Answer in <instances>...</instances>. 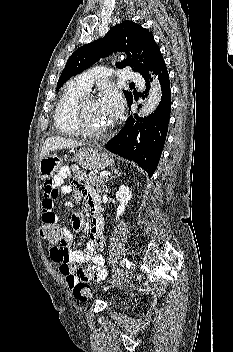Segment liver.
<instances>
[{"label":"liver","instance_id":"liver-1","mask_svg":"<svg viewBox=\"0 0 233 352\" xmlns=\"http://www.w3.org/2000/svg\"><path fill=\"white\" fill-rule=\"evenodd\" d=\"M79 146H82V143L72 139L64 137H50L46 139L43 144L40 159L48 155L51 151H56L64 148H76Z\"/></svg>","mask_w":233,"mask_h":352}]
</instances>
